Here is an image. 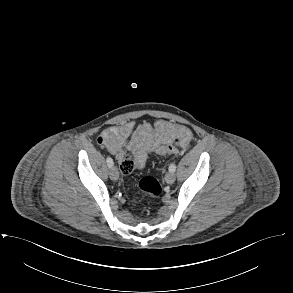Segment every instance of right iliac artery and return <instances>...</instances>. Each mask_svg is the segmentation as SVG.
Here are the masks:
<instances>
[{"instance_id":"82829eb1","label":"right iliac artery","mask_w":293,"mask_h":293,"mask_svg":"<svg viewBox=\"0 0 293 293\" xmlns=\"http://www.w3.org/2000/svg\"><path fill=\"white\" fill-rule=\"evenodd\" d=\"M106 162H107V165H108L109 167H112L113 164H114V163H113V160H112L111 157H107Z\"/></svg>"}]
</instances>
